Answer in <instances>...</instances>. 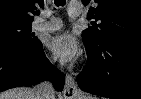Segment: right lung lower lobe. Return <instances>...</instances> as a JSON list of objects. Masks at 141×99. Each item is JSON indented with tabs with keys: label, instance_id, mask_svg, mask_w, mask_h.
<instances>
[{
	"label": "right lung lower lobe",
	"instance_id": "right-lung-lower-lobe-1",
	"mask_svg": "<svg viewBox=\"0 0 141 99\" xmlns=\"http://www.w3.org/2000/svg\"><path fill=\"white\" fill-rule=\"evenodd\" d=\"M42 80H53L59 91L65 81L64 75L46 58L40 41L29 45L0 44V92Z\"/></svg>",
	"mask_w": 141,
	"mask_h": 99
}]
</instances>
